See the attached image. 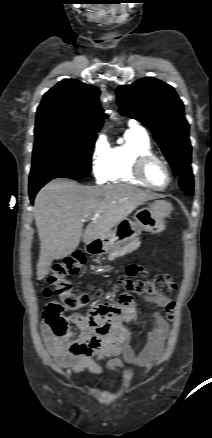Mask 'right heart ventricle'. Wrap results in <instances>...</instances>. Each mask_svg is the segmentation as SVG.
<instances>
[{
	"label": "right heart ventricle",
	"mask_w": 212,
	"mask_h": 438,
	"mask_svg": "<svg viewBox=\"0 0 212 438\" xmlns=\"http://www.w3.org/2000/svg\"><path fill=\"white\" fill-rule=\"evenodd\" d=\"M143 154H154L149 136L144 130L129 129L123 144L109 148L105 181L144 186L132 173L136 158Z\"/></svg>",
	"instance_id": "1"
}]
</instances>
